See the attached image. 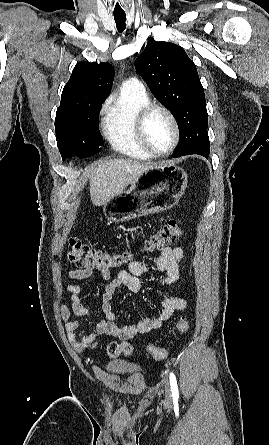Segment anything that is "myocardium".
Wrapping results in <instances>:
<instances>
[{
	"label": "myocardium",
	"mask_w": 269,
	"mask_h": 445,
	"mask_svg": "<svg viewBox=\"0 0 269 445\" xmlns=\"http://www.w3.org/2000/svg\"><path fill=\"white\" fill-rule=\"evenodd\" d=\"M162 111L163 113H165L168 118L170 119L172 125H173V129H174V139L173 142L170 146V148L162 153L156 152L148 143L147 139H146V135H145V124L146 121L149 117V115L153 112V111ZM135 133H136V137L137 140L140 144V146L152 157L155 158H165L170 156L175 149L177 148L179 141H180V137H181V130H180V125L179 122L175 116V114L166 106L162 105V104H158V103H148L146 105H144L137 113L136 116V120H135Z\"/></svg>",
	"instance_id": "f54148a6"
}]
</instances>
